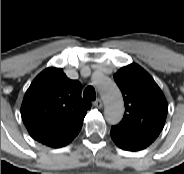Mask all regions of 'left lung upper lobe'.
Wrapping results in <instances>:
<instances>
[{"label":"left lung upper lobe","instance_id":"5c2ea615","mask_svg":"<svg viewBox=\"0 0 184 174\" xmlns=\"http://www.w3.org/2000/svg\"><path fill=\"white\" fill-rule=\"evenodd\" d=\"M114 80L120 88L125 114L118 127L156 139L162 131L167 101L153 78L139 65L132 63L118 70Z\"/></svg>","mask_w":184,"mask_h":174}]
</instances>
